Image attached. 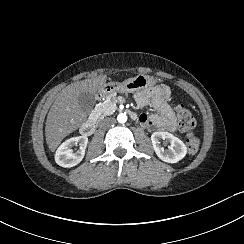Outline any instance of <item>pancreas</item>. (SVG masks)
Here are the masks:
<instances>
[{"label":"pancreas","mask_w":244,"mask_h":244,"mask_svg":"<svg viewBox=\"0 0 244 244\" xmlns=\"http://www.w3.org/2000/svg\"><path fill=\"white\" fill-rule=\"evenodd\" d=\"M113 106V101L110 99H107L105 102L100 104V108L104 110L105 113H108L111 110V107Z\"/></svg>","instance_id":"pancreas-1"}]
</instances>
